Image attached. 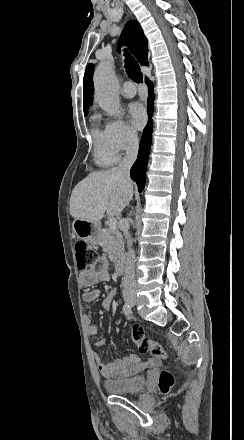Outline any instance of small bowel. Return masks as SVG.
Returning a JSON list of instances; mask_svg holds the SVG:
<instances>
[{"mask_svg": "<svg viewBox=\"0 0 244 440\" xmlns=\"http://www.w3.org/2000/svg\"><path fill=\"white\" fill-rule=\"evenodd\" d=\"M108 279V264L104 257H99L96 263L86 270L80 273V284L82 287H91L99 282L106 281ZM101 292L98 289H90L83 293L82 298L86 302H94L98 300ZM117 295L116 290L111 291L106 306ZM87 334L89 336H95L98 332V328L93 323L90 315L85 314L83 317ZM102 346V343L99 344ZM93 359L96 364V368L100 375L108 380L128 381L138 375L140 372L149 369L150 367H156L159 365L156 359L148 361H141L135 355L130 354L121 357L113 362L105 363L101 356L97 353H93Z\"/></svg>", "mask_w": 244, "mask_h": 440, "instance_id": "small-bowel-1", "label": "small bowel"}]
</instances>
